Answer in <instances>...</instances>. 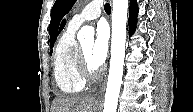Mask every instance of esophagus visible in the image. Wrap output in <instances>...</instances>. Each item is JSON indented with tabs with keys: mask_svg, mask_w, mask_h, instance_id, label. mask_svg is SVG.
<instances>
[{
	"mask_svg": "<svg viewBox=\"0 0 193 112\" xmlns=\"http://www.w3.org/2000/svg\"><path fill=\"white\" fill-rule=\"evenodd\" d=\"M104 93V89L100 92V94L98 95V100H100L102 98V94Z\"/></svg>",
	"mask_w": 193,
	"mask_h": 112,
	"instance_id": "1",
	"label": "esophagus"
}]
</instances>
